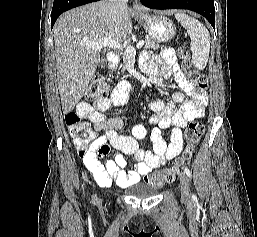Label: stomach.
<instances>
[{
	"instance_id": "obj_1",
	"label": "stomach",
	"mask_w": 257,
	"mask_h": 237,
	"mask_svg": "<svg viewBox=\"0 0 257 237\" xmlns=\"http://www.w3.org/2000/svg\"><path fill=\"white\" fill-rule=\"evenodd\" d=\"M136 17L143 25L150 39L155 42H168L176 34V28L173 22L162 14H149L145 12L136 15Z\"/></svg>"
}]
</instances>
